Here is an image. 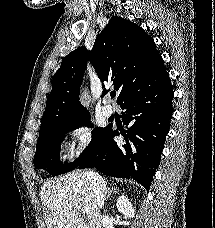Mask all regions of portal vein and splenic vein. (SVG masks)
<instances>
[{
  "label": "portal vein and splenic vein",
  "mask_w": 215,
  "mask_h": 228,
  "mask_svg": "<svg viewBox=\"0 0 215 228\" xmlns=\"http://www.w3.org/2000/svg\"><path fill=\"white\" fill-rule=\"evenodd\" d=\"M85 214H89V212H85Z\"/></svg>",
  "instance_id": "18ae733b"
}]
</instances>
